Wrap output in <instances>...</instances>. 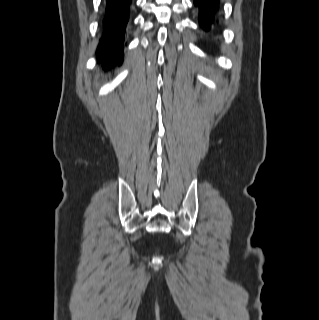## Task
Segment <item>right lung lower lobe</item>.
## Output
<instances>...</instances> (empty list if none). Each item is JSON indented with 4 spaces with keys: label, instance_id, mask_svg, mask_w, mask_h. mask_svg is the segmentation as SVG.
Instances as JSON below:
<instances>
[{
    "label": "right lung lower lobe",
    "instance_id": "right-lung-lower-lobe-1",
    "mask_svg": "<svg viewBox=\"0 0 319 320\" xmlns=\"http://www.w3.org/2000/svg\"><path fill=\"white\" fill-rule=\"evenodd\" d=\"M130 4L131 0H106L103 35L97 49L98 61L104 70L122 63Z\"/></svg>",
    "mask_w": 319,
    "mask_h": 320
}]
</instances>
